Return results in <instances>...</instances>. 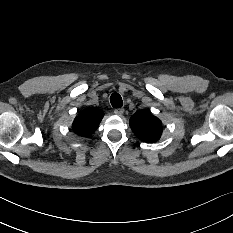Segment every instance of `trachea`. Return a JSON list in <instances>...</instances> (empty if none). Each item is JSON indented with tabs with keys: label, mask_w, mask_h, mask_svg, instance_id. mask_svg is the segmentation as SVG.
<instances>
[{
	"label": "trachea",
	"mask_w": 233,
	"mask_h": 233,
	"mask_svg": "<svg viewBox=\"0 0 233 233\" xmlns=\"http://www.w3.org/2000/svg\"><path fill=\"white\" fill-rule=\"evenodd\" d=\"M110 102L114 108H121L123 105L122 98L118 93H113L111 95Z\"/></svg>",
	"instance_id": "trachea-1"
}]
</instances>
